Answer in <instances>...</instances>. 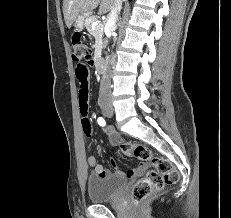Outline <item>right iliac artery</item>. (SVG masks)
I'll list each match as a JSON object with an SVG mask.
<instances>
[{
  "mask_svg": "<svg viewBox=\"0 0 231 218\" xmlns=\"http://www.w3.org/2000/svg\"><path fill=\"white\" fill-rule=\"evenodd\" d=\"M98 124L100 125V126H105V120L102 118V117H99L98 118Z\"/></svg>",
  "mask_w": 231,
  "mask_h": 218,
  "instance_id": "obj_1",
  "label": "right iliac artery"
}]
</instances>
